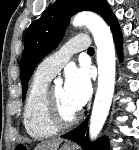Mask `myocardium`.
Listing matches in <instances>:
<instances>
[{"instance_id":"f54148a6","label":"myocardium","mask_w":139,"mask_h":150,"mask_svg":"<svg viewBox=\"0 0 139 150\" xmlns=\"http://www.w3.org/2000/svg\"><path fill=\"white\" fill-rule=\"evenodd\" d=\"M44 114L48 123L56 129H66L76 124L80 118V112L66 120L62 118L53 95V87L47 88L44 99Z\"/></svg>"}]
</instances>
